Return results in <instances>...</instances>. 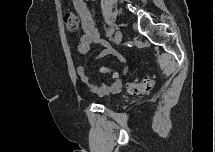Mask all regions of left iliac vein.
<instances>
[{
  "label": "left iliac vein",
  "mask_w": 215,
  "mask_h": 152,
  "mask_svg": "<svg viewBox=\"0 0 215 152\" xmlns=\"http://www.w3.org/2000/svg\"><path fill=\"white\" fill-rule=\"evenodd\" d=\"M122 41V32L120 30H117L114 34V42L116 44H120Z\"/></svg>",
  "instance_id": "4c4485c4"
}]
</instances>
